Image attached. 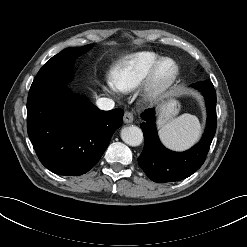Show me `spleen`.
Returning a JSON list of instances; mask_svg holds the SVG:
<instances>
[{"instance_id":"obj_1","label":"spleen","mask_w":247,"mask_h":247,"mask_svg":"<svg viewBox=\"0 0 247 247\" xmlns=\"http://www.w3.org/2000/svg\"><path fill=\"white\" fill-rule=\"evenodd\" d=\"M201 135V125L196 116L182 114L168 121L160 130L162 143L169 149L182 151L198 141Z\"/></svg>"}]
</instances>
